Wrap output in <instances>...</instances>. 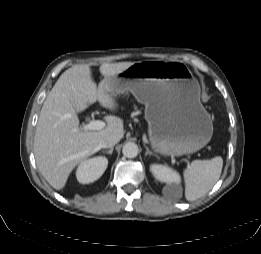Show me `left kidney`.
I'll list each match as a JSON object with an SVG mask.
<instances>
[{"label": "left kidney", "mask_w": 261, "mask_h": 254, "mask_svg": "<svg viewBox=\"0 0 261 254\" xmlns=\"http://www.w3.org/2000/svg\"><path fill=\"white\" fill-rule=\"evenodd\" d=\"M150 171L158 181L169 185L179 184L181 181L180 175L175 170L165 165L152 164L150 166Z\"/></svg>", "instance_id": "obj_1"}]
</instances>
